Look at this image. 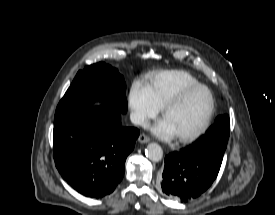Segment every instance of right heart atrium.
Wrapping results in <instances>:
<instances>
[{
	"label": "right heart atrium",
	"mask_w": 275,
	"mask_h": 215,
	"mask_svg": "<svg viewBox=\"0 0 275 215\" xmlns=\"http://www.w3.org/2000/svg\"><path fill=\"white\" fill-rule=\"evenodd\" d=\"M129 106L134 123L145 125L150 119L156 117L160 111L152 99L146 86L134 82L129 93Z\"/></svg>",
	"instance_id": "obj_1"
}]
</instances>
